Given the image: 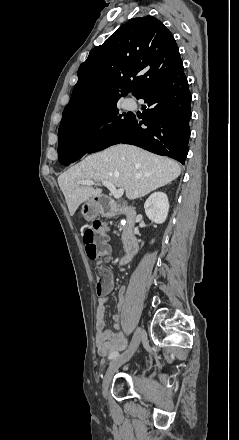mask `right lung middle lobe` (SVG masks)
<instances>
[{
	"label": "right lung middle lobe",
	"mask_w": 239,
	"mask_h": 440,
	"mask_svg": "<svg viewBox=\"0 0 239 440\" xmlns=\"http://www.w3.org/2000/svg\"><path fill=\"white\" fill-rule=\"evenodd\" d=\"M119 99H113L102 108L62 122L58 130V150L62 147L90 145L100 136L125 123L133 113L120 114L116 107Z\"/></svg>",
	"instance_id": "dd1d6c3e"
}]
</instances>
